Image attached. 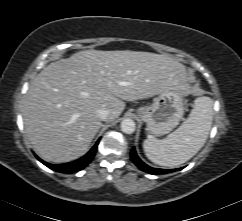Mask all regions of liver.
<instances>
[{
	"label": "liver",
	"instance_id": "liver-1",
	"mask_svg": "<svg viewBox=\"0 0 242 221\" xmlns=\"http://www.w3.org/2000/svg\"><path fill=\"white\" fill-rule=\"evenodd\" d=\"M186 67L150 52L83 50L46 66L32 81L23 107L26 137L45 161L67 163L83 156L102 126L123 112L124 101L164 91L187 93Z\"/></svg>",
	"mask_w": 242,
	"mask_h": 221
}]
</instances>
